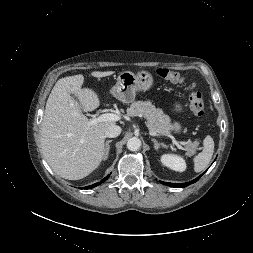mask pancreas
<instances>
[{
	"instance_id": "pancreas-1",
	"label": "pancreas",
	"mask_w": 253,
	"mask_h": 253,
	"mask_svg": "<svg viewBox=\"0 0 253 253\" xmlns=\"http://www.w3.org/2000/svg\"><path fill=\"white\" fill-rule=\"evenodd\" d=\"M127 115L131 117L143 116L147 119V124L150 130L162 135H167L172 130V124L169 116L163 111L156 108L149 101H137L130 105L127 109ZM198 146V142H188L186 145L187 154L193 155Z\"/></svg>"
}]
</instances>
